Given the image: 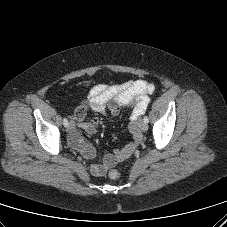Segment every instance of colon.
<instances>
[{
    "label": "colon",
    "mask_w": 227,
    "mask_h": 227,
    "mask_svg": "<svg viewBox=\"0 0 227 227\" xmlns=\"http://www.w3.org/2000/svg\"><path fill=\"white\" fill-rule=\"evenodd\" d=\"M109 177L113 180H116L120 177V172L117 169H112L109 172Z\"/></svg>",
    "instance_id": "obj_1"
}]
</instances>
